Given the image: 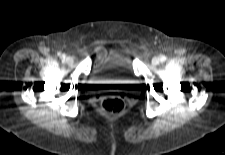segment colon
Here are the masks:
<instances>
[{"instance_id":"colon-1","label":"colon","mask_w":225,"mask_h":155,"mask_svg":"<svg viewBox=\"0 0 225 155\" xmlns=\"http://www.w3.org/2000/svg\"><path fill=\"white\" fill-rule=\"evenodd\" d=\"M101 111L109 116H117L125 110L124 97L117 94L107 95L99 100Z\"/></svg>"}]
</instances>
